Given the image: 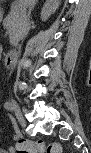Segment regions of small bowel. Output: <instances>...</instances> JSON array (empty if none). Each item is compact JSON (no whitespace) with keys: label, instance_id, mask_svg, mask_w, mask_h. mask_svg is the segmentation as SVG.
Wrapping results in <instances>:
<instances>
[{"label":"small bowel","instance_id":"c3829d8e","mask_svg":"<svg viewBox=\"0 0 91 153\" xmlns=\"http://www.w3.org/2000/svg\"><path fill=\"white\" fill-rule=\"evenodd\" d=\"M4 152L14 153V148L11 147L7 151H4Z\"/></svg>","mask_w":91,"mask_h":153}]
</instances>
